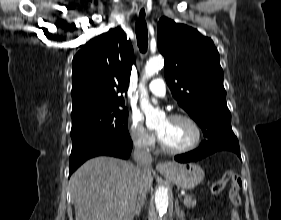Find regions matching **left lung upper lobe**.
Here are the masks:
<instances>
[{
  "label": "left lung upper lobe",
  "instance_id": "obj_1",
  "mask_svg": "<svg viewBox=\"0 0 281 220\" xmlns=\"http://www.w3.org/2000/svg\"><path fill=\"white\" fill-rule=\"evenodd\" d=\"M158 49L166 82L178 104L201 127L207 141L238 142L231 127L219 53L196 29L162 17Z\"/></svg>",
  "mask_w": 281,
  "mask_h": 220
}]
</instances>
